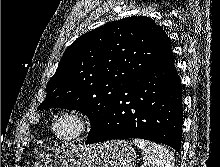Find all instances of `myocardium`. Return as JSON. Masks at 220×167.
Wrapping results in <instances>:
<instances>
[{"instance_id":"1","label":"myocardium","mask_w":220,"mask_h":167,"mask_svg":"<svg viewBox=\"0 0 220 167\" xmlns=\"http://www.w3.org/2000/svg\"><path fill=\"white\" fill-rule=\"evenodd\" d=\"M65 119H71L75 122V130L68 136L58 134L56 128L59 122ZM51 133L59 141L64 143H71L86 137L92 130V121L89 115L76 108L65 109L58 113L51 123Z\"/></svg>"}]
</instances>
